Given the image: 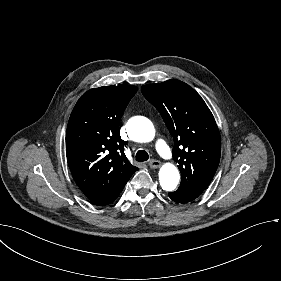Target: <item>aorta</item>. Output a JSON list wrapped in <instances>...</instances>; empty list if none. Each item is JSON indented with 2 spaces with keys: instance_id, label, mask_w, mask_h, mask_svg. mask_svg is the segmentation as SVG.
I'll list each match as a JSON object with an SVG mask.
<instances>
[{
  "instance_id": "obj_1",
  "label": "aorta",
  "mask_w": 281,
  "mask_h": 281,
  "mask_svg": "<svg viewBox=\"0 0 281 281\" xmlns=\"http://www.w3.org/2000/svg\"><path fill=\"white\" fill-rule=\"evenodd\" d=\"M130 137L136 142H150L155 137L152 122L145 117H136L127 124ZM180 180L178 169L171 163L164 164L159 170V181L163 190L173 191Z\"/></svg>"
}]
</instances>
